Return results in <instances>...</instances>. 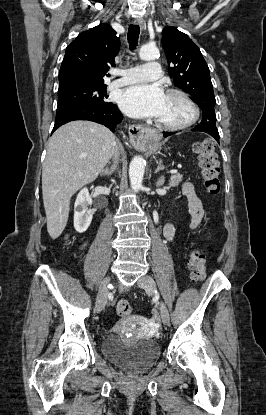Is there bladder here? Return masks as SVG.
<instances>
[{"label": "bladder", "mask_w": 266, "mask_h": 415, "mask_svg": "<svg viewBox=\"0 0 266 415\" xmlns=\"http://www.w3.org/2000/svg\"><path fill=\"white\" fill-rule=\"evenodd\" d=\"M103 354L121 368L140 373L152 367L160 356L158 342L151 338L125 342L118 334L108 335L102 343Z\"/></svg>", "instance_id": "1"}]
</instances>
